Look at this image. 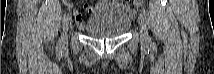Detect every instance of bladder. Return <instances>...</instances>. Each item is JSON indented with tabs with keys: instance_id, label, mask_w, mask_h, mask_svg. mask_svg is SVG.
Here are the masks:
<instances>
[{
	"instance_id": "bladder-1",
	"label": "bladder",
	"mask_w": 214,
	"mask_h": 74,
	"mask_svg": "<svg viewBox=\"0 0 214 74\" xmlns=\"http://www.w3.org/2000/svg\"><path fill=\"white\" fill-rule=\"evenodd\" d=\"M131 26V17L123 7H110L100 10L84 26V31L91 37H118Z\"/></svg>"
}]
</instances>
